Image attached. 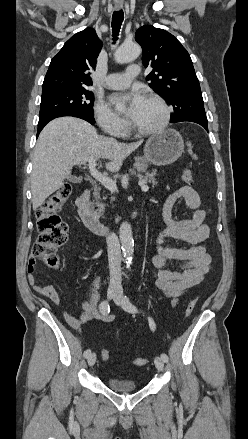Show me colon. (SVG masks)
<instances>
[{
    "mask_svg": "<svg viewBox=\"0 0 248 439\" xmlns=\"http://www.w3.org/2000/svg\"><path fill=\"white\" fill-rule=\"evenodd\" d=\"M182 180L187 186L194 184V172L184 169ZM71 195L69 184H63L37 210V227L39 235L33 247V255L42 260L48 267L57 268L60 263L58 250L67 241V225L59 216V212ZM196 298L189 302L185 315L190 316L195 308ZM100 356L104 361L110 360V353L102 349ZM147 363L145 358H136L133 364L142 366Z\"/></svg>",
    "mask_w": 248,
    "mask_h": 439,
    "instance_id": "5ec220e1",
    "label": "colon"
}]
</instances>
